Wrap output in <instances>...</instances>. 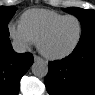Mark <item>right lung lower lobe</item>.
Segmentation results:
<instances>
[{
	"label": "right lung lower lobe",
	"instance_id": "obj_1",
	"mask_svg": "<svg viewBox=\"0 0 95 95\" xmlns=\"http://www.w3.org/2000/svg\"><path fill=\"white\" fill-rule=\"evenodd\" d=\"M33 63L29 53H16L9 36L0 35V95H17L21 77Z\"/></svg>",
	"mask_w": 95,
	"mask_h": 95
}]
</instances>
